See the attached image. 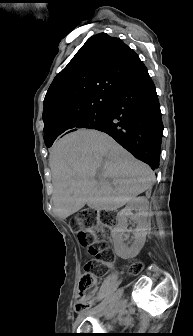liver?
<instances>
[{
	"label": "liver",
	"instance_id": "obj_1",
	"mask_svg": "<svg viewBox=\"0 0 193 336\" xmlns=\"http://www.w3.org/2000/svg\"><path fill=\"white\" fill-rule=\"evenodd\" d=\"M49 163L54 212L60 219L85 204L97 211L116 210L151 189L155 181L147 164L97 130H79L58 140Z\"/></svg>",
	"mask_w": 193,
	"mask_h": 336
}]
</instances>
